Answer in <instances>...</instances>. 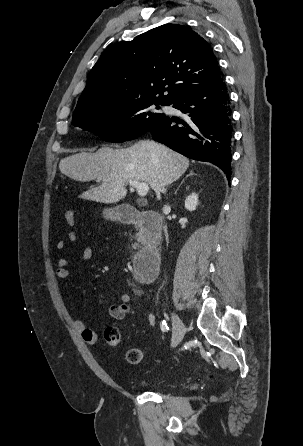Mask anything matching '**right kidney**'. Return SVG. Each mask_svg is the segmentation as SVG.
Masks as SVG:
<instances>
[{
  "mask_svg": "<svg viewBox=\"0 0 303 446\" xmlns=\"http://www.w3.org/2000/svg\"><path fill=\"white\" fill-rule=\"evenodd\" d=\"M198 205V195L192 193L185 200V208L189 211H194Z\"/></svg>",
  "mask_w": 303,
  "mask_h": 446,
  "instance_id": "obj_1",
  "label": "right kidney"
}]
</instances>
